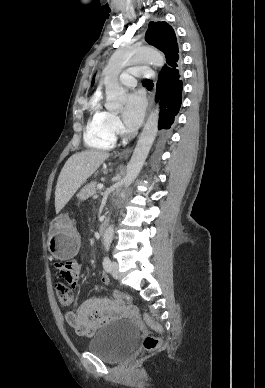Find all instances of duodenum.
<instances>
[{
  "label": "duodenum",
  "instance_id": "1",
  "mask_svg": "<svg viewBox=\"0 0 265 388\" xmlns=\"http://www.w3.org/2000/svg\"><path fill=\"white\" fill-rule=\"evenodd\" d=\"M108 227V220H102L99 225V233L103 235L106 232V229Z\"/></svg>",
  "mask_w": 265,
  "mask_h": 388
}]
</instances>
